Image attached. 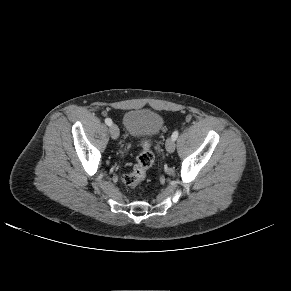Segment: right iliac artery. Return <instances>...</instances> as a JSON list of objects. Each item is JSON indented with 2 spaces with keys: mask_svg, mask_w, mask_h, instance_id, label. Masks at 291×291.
I'll list each match as a JSON object with an SVG mask.
<instances>
[{
  "mask_svg": "<svg viewBox=\"0 0 291 291\" xmlns=\"http://www.w3.org/2000/svg\"><path fill=\"white\" fill-rule=\"evenodd\" d=\"M105 123L108 125V126H111L112 125V120L110 118H106L105 119Z\"/></svg>",
  "mask_w": 291,
  "mask_h": 291,
  "instance_id": "82829eb1",
  "label": "right iliac artery"
}]
</instances>
